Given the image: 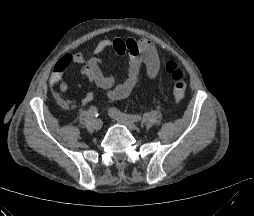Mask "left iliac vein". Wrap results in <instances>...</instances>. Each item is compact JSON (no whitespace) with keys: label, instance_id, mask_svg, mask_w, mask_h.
I'll list each match as a JSON object with an SVG mask.
<instances>
[{"label":"left iliac vein","instance_id":"left-iliac-vein-1","mask_svg":"<svg viewBox=\"0 0 254 216\" xmlns=\"http://www.w3.org/2000/svg\"><path fill=\"white\" fill-rule=\"evenodd\" d=\"M109 114L118 123L127 126L129 129H132V130L136 129V125H135V123L133 121H131L129 119H124V118L117 117L111 111L109 112Z\"/></svg>","mask_w":254,"mask_h":216}]
</instances>
